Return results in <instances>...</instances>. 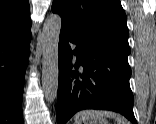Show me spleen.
I'll use <instances>...</instances> for the list:
<instances>
[{
	"mask_svg": "<svg viewBox=\"0 0 156 124\" xmlns=\"http://www.w3.org/2000/svg\"><path fill=\"white\" fill-rule=\"evenodd\" d=\"M109 117L117 120L118 124H128V122L121 116L111 111L99 110H83L75 115L74 124H86L88 121L96 118Z\"/></svg>",
	"mask_w": 156,
	"mask_h": 124,
	"instance_id": "spleen-1",
	"label": "spleen"
}]
</instances>
